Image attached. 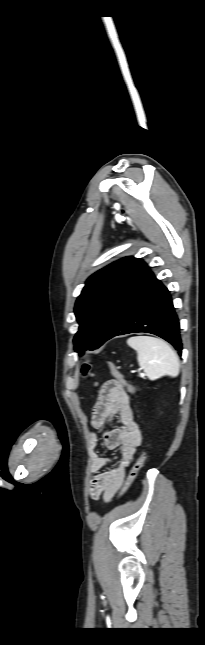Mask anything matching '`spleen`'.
Returning <instances> with one entry per match:
<instances>
[{"mask_svg":"<svg viewBox=\"0 0 205 645\" xmlns=\"http://www.w3.org/2000/svg\"><path fill=\"white\" fill-rule=\"evenodd\" d=\"M127 344L136 350L139 366L146 372L149 380L178 376V356L165 341L151 336H134L127 340Z\"/></svg>","mask_w":205,"mask_h":645,"instance_id":"3e777b00","label":"spleen"}]
</instances>
